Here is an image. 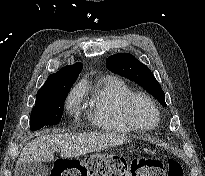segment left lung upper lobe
Wrapping results in <instances>:
<instances>
[{
    "label": "left lung upper lobe",
    "mask_w": 205,
    "mask_h": 176,
    "mask_svg": "<svg viewBox=\"0 0 205 176\" xmlns=\"http://www.w3.org/2000/svg\"><path fill=\"white\" fill-rule=\"evenodd\" d=\"M106 66L109 70L135 81L147 92L156 97L163 106H167L160 84L150 69L138 61L133 55L129 53L114 54L107 58Z\"/></svg>",
    "instance_id": "obj_1"
}]
</instances>
